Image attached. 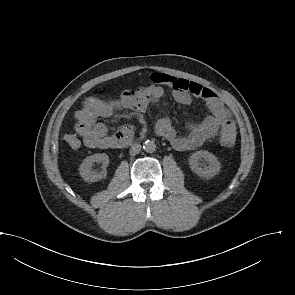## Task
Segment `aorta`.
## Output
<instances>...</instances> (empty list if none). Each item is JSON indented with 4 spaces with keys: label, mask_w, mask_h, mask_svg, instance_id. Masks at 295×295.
I'll return each mask as SVG.
<instances>
[{
    "label": "aorta",
    "mask_w": 295,
    "mask_h": 295,
    "mask_svg": "<svg viewBox=\"0 0 295 295\" xmlns=\"http://www.w3.org/2000/svg\"><path fill=\"white\" fill-rule=\"evenodd\" d=\"M143 149L147 153H153L156 150V144L153 141H146L143 145Z\"/></svg>",
    "instance_id": "762f6f07"
}]
</instances>
